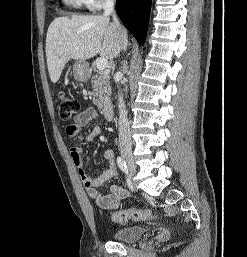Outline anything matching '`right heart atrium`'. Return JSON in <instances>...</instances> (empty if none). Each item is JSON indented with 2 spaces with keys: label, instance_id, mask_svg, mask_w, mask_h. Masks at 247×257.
<instances>
[{
  "label": "right heart atrium",
  "instance_id": "1",
  "mask_svg": "<svg viewBox=\"0 0 247 257\" xmlns=\"http://www.w3.org/2000/svg\"><path fill=\"white\" fill-rule=\"evenodd\" d=\"M107 1L108 0H81L82 4L91 11L101 8Z\"/></svg>",
  "mask_w": 247,
  "mask_h": 257
}]
</instances>
